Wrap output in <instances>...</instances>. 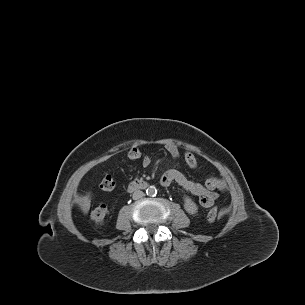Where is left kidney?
Wrapping results in <instances>:
<instances>
[{"mask_svg": "<svg viewBox=\"0 0 305 305\" xmlns=\"http://www.w3.org/2000/svg\"><path fill=\"white\" fill-rule=\"evenodd\" d=\"M184 208L187 213L192 215L198 212L196 203L189 196H184Z\"/></svg>", "mask_w": 305, "mask_h": 305, "instance_id": "left-kidney-1", "label": "left kidney"}]
</instances>
